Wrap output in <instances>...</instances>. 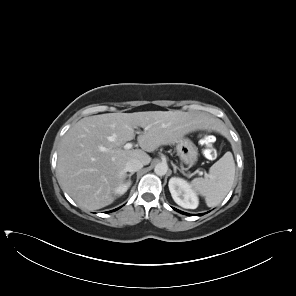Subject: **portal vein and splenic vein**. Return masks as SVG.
<instances>
[{
  "instance_id": "18ae733b",
  "label": "portal vein and splenic vein",
  "mask_w": 296,
  "mask_h": 296,
  "mask_svg": "<svg viewBox=\"0 0 296 296\" xmlns=\"http://www.w3.org/2000/svg\"><path fill=\"white\" fill-rule=\"evenodd\" d=\"M132 146H133V144H132L131 142L126 143V144L124 145V149H131ZM196 173H199L200 175H203V172H201V171H196ZM205 175H206V174H205Z\"/></svg>"
}]
</instances>
